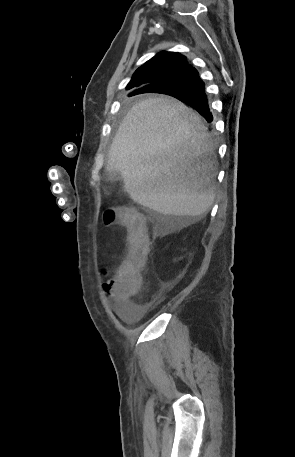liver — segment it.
Returning <instances> with one entry per match:
<instances>
[{"mask_svg":"<svg viewBox=\"0 0 295 457\" xmlns=\"http://www.w3.org/2000/svg\"><path fill=\"white\" fill-rule=\"evenodd\" d=\"M210 152V153H209ZM201 117L169 97L135 104L112 141L107 172L130 198L163 215L197 217L215 198V161Z\"/></svg>","mask_w":295,"mask_h":457,"instance_id":"obj_1","label":"liver"}]
</instances>
